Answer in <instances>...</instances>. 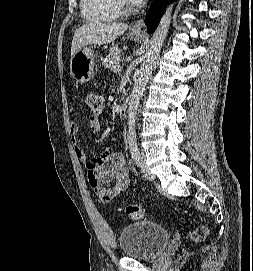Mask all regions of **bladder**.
Returning a JSON list of instances; mask_svg holds the SVG:
<instances>
[{"mask_svg": "<svg viewBox=\"0 0 253 271\" xmlns=\"http://www.w3.org/2000/svg\"><path fill=\"white\" fill-rule=\"evenodd\" d=\"M169 231L152 221H139L124 227L118 236L122 254L131 259L151 260L168 245Z\"/></svg>", "mask_w": 253, "mask_h": 271, "instance_id": "31cf9c89", "label": "bladder"}]
</instances>
